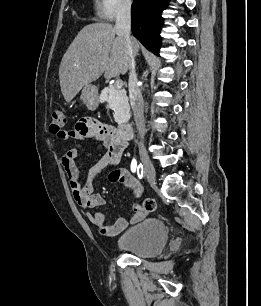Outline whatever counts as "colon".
Listing matches in <instances>:
<instances>
[{"label":"colon","instance_id":"1","mask_svg":"<svg viewBox=\"0 0 261 306\" xmlns=\"http://www.w3.org/2000/svg\"><path fill=\"white\" fill-rule=\"evenodd\" d=\"M65 115L62 110L54 109L51 114L50 131L60 138L64 135L65 130ZM126 179L125 175L121 171H115L111 174V180L113 182H121ZM142 207L145 211L151 212L155 210V201L151 198H146L142 202Z\"/></svg>","mask_w":261,"mask_h":306}]
</instances>
